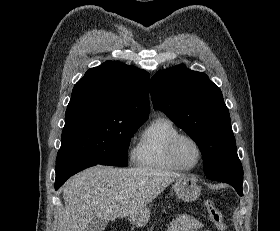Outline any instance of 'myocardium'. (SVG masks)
<instances>
[{
	"label": "myocardium",
	"instance_id": "1",
	"mask_svg": "<svg viewBox=\"0 0 280 231\" xmlns=\"http://www.w3.org/2000/svg\"><path fill=\"white\" fill-rule=\"evenodd\" d=\"M183 138H189L191 140H193L198 149H199V153H200V159L199 162L197 164V166L195 168H186L184 167L178 160L177 156H176V148L177 145L179 143V141ZM168 156L170 161L176 165L178 167V169L185 171V172H194L197 171L198 169L201 168V166L203 165L204 161H205V150L203 147V144L201 143V141L195 137L192 134L189 133H184V132H180L178 134H176L170 141L169 146H168Z\"/></svg>",
	"mask_w": 280,
	"mask_h": 231
}]
</instances>
